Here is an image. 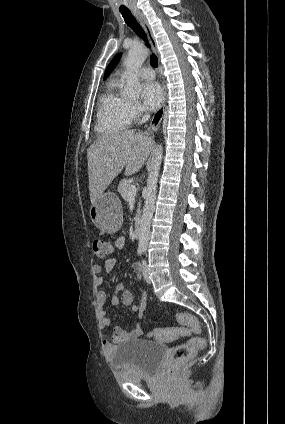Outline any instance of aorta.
Returning a JSON list of instances; mask_svg holds the SVG:
<instances>
[{
	"instance_id": "762f6f07",
	"label": "aorta",
	"mask_w": 285,
	"mask_h": 424,
	"mask_svg": "<svg viewBox=\"0 0 285 424\" xmlns=\"http://www.w3.org/2000/svg\"><path fill=\"white\" fill-rule=\"evenodd\" d=\"M148 56V50L145 47H133L129 50L124 61L126 67V85L124 94L135 97L140 91L139 70ZM163 148L159 145L156 149L155 159L150 168L147 179V192L143 213L140 222L139 247L146 248L148 245L151 220L155 210V199L157 193V182L159 177L160 166L162 162Z\"/></svg>"
}]
</instances>
